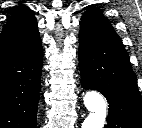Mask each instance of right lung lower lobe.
I'll use <instances>...</instances> for the list:
<instances>
[{"label": "right lung lower lobe", "mask_w": 142, "mask_h": 128, "mask_svg": "<svg viewBox=\"0 0 142 128\" xmlns=\"http://www.w3.org/2000/svg\"><path fill=\"white\" fill-rule=\"evenodd\" d=\"M42 60L39 41L0 65V128H36Z\"/></svg>", "instance_id": "obj_1"}]
</instances>
